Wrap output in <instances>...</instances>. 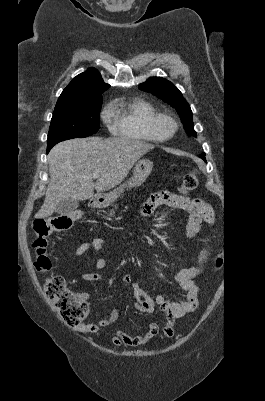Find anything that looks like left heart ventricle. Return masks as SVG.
<instances>
[{
	"label": "left heart ventricle",
	"mask_w": 265,
	"mask_h": 401,
	"mask_svg": "<svg viewBox=\"0 0 265 401\" xmlns=\"http://www.w3.org/2000/svg\"><path fill=\"white\" fill-rule=\"evenodd\" d=\"M167 131H168V127L163 125L161 128V132L164 134V133H167Z\"/></svg>",
	"instance_id": "1"
}]
</instances>
